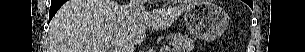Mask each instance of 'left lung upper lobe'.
I'll return each mask as SVG.
<instances>
[{"label":"left lung upper lobe","instance_id":"obj_1","mask_svg":"<svg viewBox=\"0 0 305 52\" xmlns=\"http://www.w3.org/2000/svg\"><path fill=\"white\" fill-rule=\"evenodd\" d=\"M251 4L249 5L250 7H253V5H252V0H248Z\"/></svg>","mask_w":305,"mask_h":52}]
</instances>
